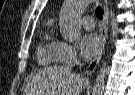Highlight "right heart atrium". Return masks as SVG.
I'll list each match as a JSON object with an SVG mask.
<instances>
[{"label": "right heart atrium", "instance_id": "1", "mask_svg": "<svg viewBox=\"0 0 135 95\" xmlns=\"http://www.w3.org/2000/svg\"><path fill=\"white\" fill-rule=\"evenodd\" d=\"M78 57L76 48L65 41H58V60L62 63H68Z\"/></svg>", "mask_w": 135, "mask_h": 95}]
</instances>
